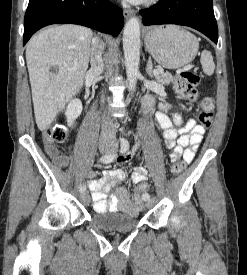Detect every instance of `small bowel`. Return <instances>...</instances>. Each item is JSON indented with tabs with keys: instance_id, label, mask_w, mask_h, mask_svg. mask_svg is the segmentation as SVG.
I'll return each mask as SVG.
<instances>
[{
	"instance_id": "obj_1",
	"label": "small bowel",
	"mask_w": 247,
	"mask_h": 275,
	"mask_svg": "<svg viewBox=\"0 0 247 275\" xmlns=\"http://www.w3.org/2000/svg\"><path fill=\"white\" fill-rule=\"evenodd\" d=\"M150 104V100L147 101ZM171 106L163 104L161 111L157 112L155 119L163 131L165 145L171 149V160L175 162L183 159L185 163H190L200 146L205 129L198 125L195 120H189L182 128H176L168 116ZM45 152L52 162L62 168L69 166L70 158L62 155L52 145L45 146ZM132 155L125 154L118 158V163H125L131 160ZM125 172L117 168H108L103 171L102 176L97 178L96 173L91 170L87 173L88 188L92 193L95 212H125L137 214L143 206L142 196L130 195L121 187H117L119 182L125 179ZM147 180V170L143 166H137L134 170L132 181L140 185ZM113 193L107 198V194Z\"/></svg>"
}]
</instances>
